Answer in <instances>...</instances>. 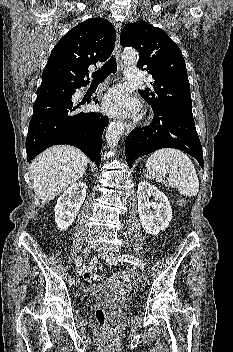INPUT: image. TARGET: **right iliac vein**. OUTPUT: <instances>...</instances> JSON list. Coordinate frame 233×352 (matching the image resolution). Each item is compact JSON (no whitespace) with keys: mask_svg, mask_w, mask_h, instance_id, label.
<instances>
[{"mask_svg":"<svg viewBox=\"0 0 233 352\" xmlns=\"http://www.w3.org/2000/svg\"><path fill=\"white\" fill-rule=\"evenodd\" d=\"M90 253H91V247H90V246H86V247L83 248L82 251H81V255H82L83 257H87ZM79 285H80V281H79V279H78V280H76V282H75V286L77 287V286H79Z\"/></svg>","mask_w":233,"mask_h":352,"instance_id":"right-iliac-vein-1","label":"right iliac vein"}]
</instances>
